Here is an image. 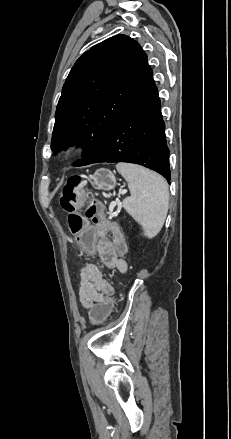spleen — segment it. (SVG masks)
<instances>
[{
    "instance_id": "3e777b00",
    "label": "spleen",
    "mask_w": 231,
    "mask_h": 439,
    "mask_svg": "<svg viewBox=\"0 0 231 439\" xmlns=\"http://www.w3.org/2000/svg\"><path fill=\"white\" fill-rule=\"evenodd\" d=\"M116 168L127 181L131 193L123 200L122 206L142 225L146 236L157 235L168 212L167 182L160 175L138 165L119 163ZM103 234L100 232V235Z\"/></svg>"
}]
</instances>
